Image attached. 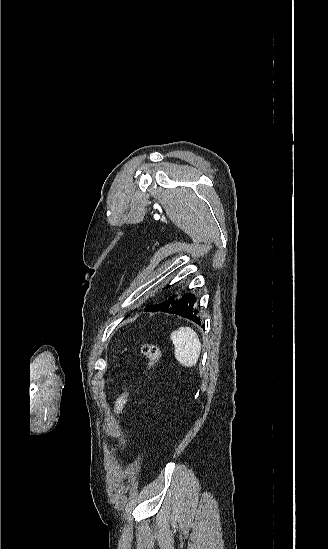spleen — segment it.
<instances>
[{
    "mask_svg": "<svg viewBox=\"0 0 328 549\" xmlns=\"http://www.w3.org/2000/svg\"><path fill=\"white\" fill-rule=\"evenodd\" d=\"M170 339L175 347V359L183 367H195L201 353L200 339L191 327H179L173 331Z\"/></svg>",
    "mask_w": 328,
    "mask_h": 549,
    "instance_id": "1",
    "label": "spleen"
}]
</instances>
